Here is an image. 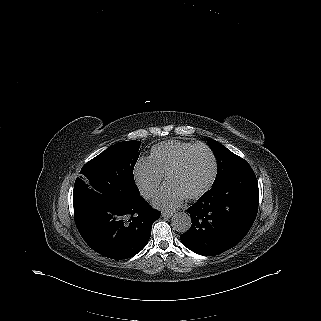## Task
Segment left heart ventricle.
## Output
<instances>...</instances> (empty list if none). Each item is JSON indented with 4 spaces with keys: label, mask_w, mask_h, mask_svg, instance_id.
I'll use <instances>...</instances> for the list:
<instances>
[{
    "label": "left heart ventricle",
    "mask_w": 321,
    "mask_h": 321,
    "mask_svg": "<svg viewBox=\"0 0 321 321\" xmlns=\"http://www.w3.org/2000/svg\"><path fill=\"white\" fill-rule=\"evenodd\" d=\"M213 163L205 150L197 151L188 167L173 178L172 184L181 192H194L201 188L210 178Z\"/></svg>",
    "instance_id": "b2bd125f"
}]
</instances>
